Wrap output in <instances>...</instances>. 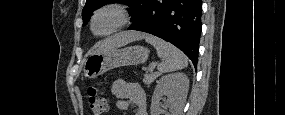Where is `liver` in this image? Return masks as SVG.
Wrapping results in <instances>:
<instances>
[{
  "instance_id": "1",
  "label": "liver",
  "mask_w": 285,
  "mask_h": 115,
  "mask_svg": "<svg viewBox=\"0 0 285 115\" xmlns=\"http://www.w3.org/2000/svg\"><path fill=\"white\" fill-rule=\"evenodd\" d=\"M146 37L147 35L141 32H121L102 41L94 50V53H105Z\"/></svg>"
}]
</instances>
